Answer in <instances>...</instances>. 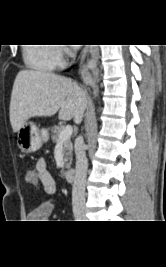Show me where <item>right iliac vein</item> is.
Masks as SVG:
<instances>
[{"label": "right iliac vein", "instance_id": "obj_1", "mask_svg": "<svg viewBox=\"0 0 166 267\" xmlns=\"http://www.w3.org/2000/svg\"><path fill=\"white\" fill-rule=\"evenodd\" d=\"M74 215L76 219H86V214L83 210L75 211Z\"/></svg>", "mask_w": 166, "mask_h": 267}]
</instances>
